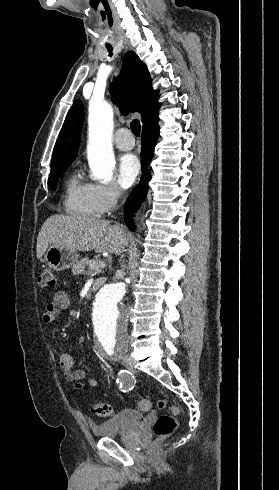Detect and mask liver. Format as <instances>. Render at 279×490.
<instances>
[{"mask_svg":"<svg viewBox=\"0 0 279 490\" xmlns=\"http://www.w3.org/2000/svg\"><path fill=\"white\" fill-rule=\"evenodd\" d=\"M124 228L110 226L107 220L84 216H50L44 222L37 238L36 256L42 258L48 246L66 248L72 252L115 254L120 256L127 238Z\"/></svg>","mask_w":279,"mask_h":490,"instance_id":"1","label":"liver"}]
</instances>
